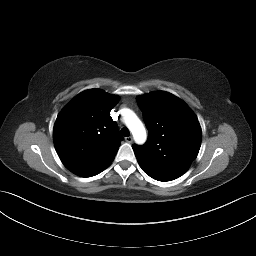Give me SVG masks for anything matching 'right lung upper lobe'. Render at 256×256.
<instances>
[{
  "instance_id": "1",
  "label": "right lung upper lobe",
  "mask_w": 256,
  "mask_h": 256,
  "mask_svg": "<svg viewBox=\"0 0 256 256\" xmlns=\"http://www.w3.org/2000/svg\"><path fill=\"white\" fill-rule=\"evenodd\" d=\"M119 97L100 89L78 94L59 113L55 149L64 166L76 175L110 164L123 137L110 116Z\"/></svg>"
}]
</instances>
